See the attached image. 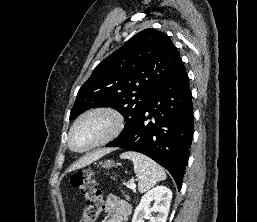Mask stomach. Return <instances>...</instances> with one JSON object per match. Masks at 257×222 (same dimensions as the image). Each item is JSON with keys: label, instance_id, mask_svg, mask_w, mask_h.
<instances>
[{"label": "stomach", "instance_id": "1", "mask_svg": "<svg viewBox=\"0 0 257 222\" xmlns=\"http://www.w3.org/2000/svg\"><path fill=\"white\" fill-rule=\"evenodd\" d=\"M114 164L112 161L108 160L105 162V164L103 165L104 168H110L112 167Z\"/></svg>", "mask_w": 257, "mask_h": 222}]
</instances>
